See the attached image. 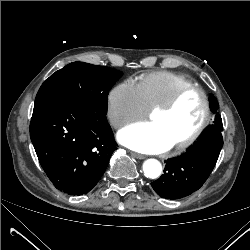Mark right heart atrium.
I'll return each mask as SVG.
<instances>
[{"label":"right heart atrium","instance_id":"right-heart-atrium-1","mask_svg":"<svg viewBox=\"0 0 250 250\" xmlns=\"http://www.w3.org/2000/svg\"><path fill=\"white\" fill-rule=\"evenodd\" d=\"M146 107L138 87L130 80H125L107 94V117L115 129H121L129 123L143 117Z\"/></svg>","mask_w":250,"mask_h":250}]
</instances>
